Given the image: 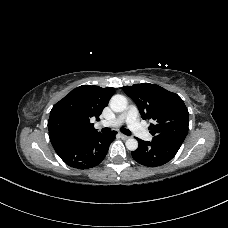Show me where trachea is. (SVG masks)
I'll return each instance as SVG.
<instances>
[{
    "label": "trachea",
    "mask_w": 228,
    "mask_h": 228,
    "mask_svg": "<svg viewBox=\"0 0 228 228\" xmlns=\"http://www.w3.org/2000/svg\"><path fill=\"white\" fill-rule=\"evenodd\" d=\"M110 131L111 129L107 127L102 129V133H109ZM120 131L127 136L131 135V132L126 128H121Z\"/></svg>",
    "instance_id": "1"
}]
</instances>
